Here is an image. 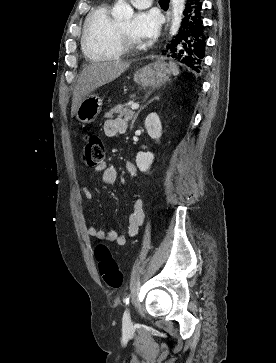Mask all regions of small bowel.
I'll return each mask as SVG.
<instances>
[{
  "label": "small bowel",
  "mask_w": 276,
  "mask_h": 363,
  "mask_svg": "<svg viewBox=\"0 0 276 363\" xmlns=\"http://www.w3.org/2000/svg\"><path fill=\"white\" fill-rule=\"evenodd\" d=\"M127 123L121 117L109 118L104 122L103 131L107 137L117 138L125 133ZM127 172L134 178L137 177V169L134 164L128 162L125 165ZM92 173H101L102 182L108 185H113L117 181V170L113 166L102 163L91 170ZM80 191L85 195L88 201H93V195L90 190L82 185ZM144 220L143 201L138 195H134L132 208L128 217V230L127 234L117 233L115 231H104L97 229L92 224L86 228V233L89 237L100 240L108 241L117 245H124L128 237H135Z\"/></svg>",
  "instance_id": "obj_1"
}]
</instances>
